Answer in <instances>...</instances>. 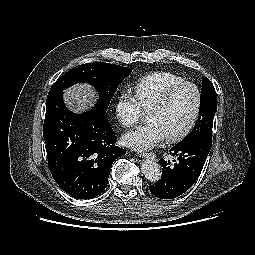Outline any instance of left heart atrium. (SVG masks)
<instances>
[{
    "label": "left heart atrium",
    "mask_w": 255,
    "mask_h": 255,
    "mask_svg": "<svg viewBox=\"0 0 255 255\" xmlns=\"http://www.w3.org/2000/svg\"><path fill=\"white\" fill-rule=\"evenodd\" d=\"M166 137L162 128L155 122L137 127L124 133L121 143L136 151H146L159 145Z\"/></svg>",
    "instance_id": "left-heart-atrium-1"
}]
</instances>
